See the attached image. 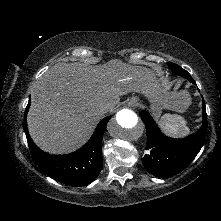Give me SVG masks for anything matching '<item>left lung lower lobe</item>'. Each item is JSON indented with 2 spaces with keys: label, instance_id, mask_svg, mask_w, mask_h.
<instances>
[{
  "label": "left lung lower lobe",
  "instance_id": "0a47b994",
  "mask_svg": "<svg viewBox=\"0 0 221 221\" xmlns=\"http://www.w3.org/2000/svg\"><path fill=\"white\" fill-rule=\"evenodd\" d=\"M184 78L195 84L189 73ZM202 108L203 124L200 130L183 139H173L165 136L147 112H140L147 132L146 150H149V153L142 158V163L149 173L158 177L177 174L196 157L204 144L207 131V114L204 100Z\"/></svg>",
  "mask_w": 221,
  "mask_h": 221
}]
</instances>
